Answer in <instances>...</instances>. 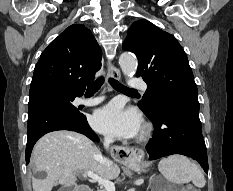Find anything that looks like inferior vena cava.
I'll list each match as a JSON object with an SVG mask.
<instances>
[{
  "mask_svg": "<svg viewBox=\"0 0 233 191\" xmlns=\"http://www.w3.org/2000/svg\"><path fill=\"white\" fill-rule=\"evenodd\" d=\"M111 143H113V140L111 139V138H105V140H104V147L106 148V149H108L109 148V145L111 144ZM101 162L105 165V166H110L111 164H112V161H110V160H108V159H106V158H103L102 160H101Z\"/></svg>",
  "mask_w": 233,
  "mask_h": 191,
  "instance_id": "1",
  "label": "inferior vena cava"
}]
</instances>
